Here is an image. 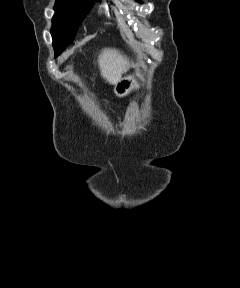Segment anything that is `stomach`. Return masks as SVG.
<instances>
[{
  "label": "stomach",
  "mask_w": 240,
  "mask_h": 288,
  "mask_svg": "<svg viewBox=\"0 0 240 288\" xmlns=\"http://www.w3.org/2000/svg\"><path fill=\"white\" fill-rule=\"evenodd\" d=\"M142 86V75L139 71H136L135 75L127 76L119 79L114 87V93L118 97H124L130 94L132 91H137Z\"/></svg>",
  "instance_id": "0dacf381"
}]
</instances>
